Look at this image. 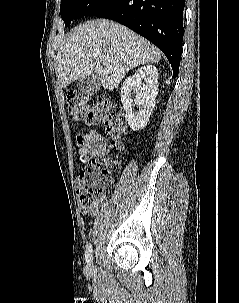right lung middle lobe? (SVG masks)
Here are the masks:
<instances>
[{
  "mask_svg": "<svg viewBox=\"0 0 239 303\" xmlns=\"http://www.w3.org/2000/svg\"><path fill=\"white\" fill-rule=\"evenodd\" d=\"M105 1L106 0H62L60 14L65 23V27L69 26L72 20L88 15Z\"/></svg>",
  "mask_w": 239,
  "mask_h": 303,
  "instance_id": "1",
  "label": "right lung middle lobe"
}]
</instances>
